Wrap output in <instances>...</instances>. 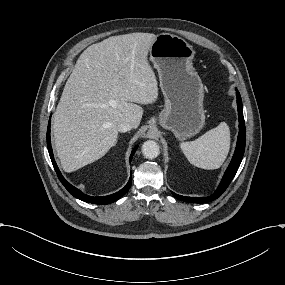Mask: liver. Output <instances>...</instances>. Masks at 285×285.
Returning a JSON list of instances; mask_svg holds the SVG:
<instances>
[{
    "label": "liver",
    "mask_w": 285,
    "mask_h": 285,
    "mask_svg": "<svg viewBox=\"0 0 285 285\" xmlns=\"http://www.w3.org/2000/svg\"><path fill=\"white\" fill-rule=\"evenodd\" d=\"M157 36L130 33L90 45L77 60L54 113L57 156L65 172L103 157L117 142V125L133 128L143 108L158 98L155 73L148 63Z\"/></svg>",
    "instance_id": "6515ba94"
}]
</instances>
